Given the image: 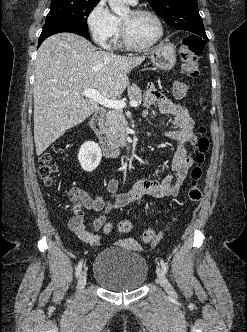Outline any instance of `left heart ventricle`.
Wrapping results in <instances>:
<instances>
[{
    "label": "left heart ventricle",
    "instance_id": "left-heart-ventricle-1",
    "mask_svg": "<svg viewBox=\"0 0 247 332\" xmlns=\"http://www.w3.org/2000/svg\"><path fill=\"white\" fill-rule=\"evenodd\" d=\"M126 23L129 35L136 44H148L159 34L156 20L150 15H134L131 11L122 16Z\"/></svg>",
    "mask_w": 247,
    "mask_h": 332
}]
</instances>
